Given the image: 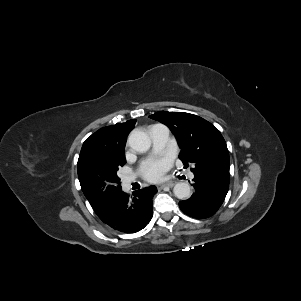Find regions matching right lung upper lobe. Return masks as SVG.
I'll use <instances>...</instances> for the list:
<instances>
[{"label": "right lung upper lobe", "mask_w": 301, "mask_h": 301, "mask_svg": "<svg viewBox=\"0 0 301 301\" xmlns=\"http://www.w3.org/2000/svg\"><path fill=\"white\" fill-rule=\"evenodd\" d=\"M135 123L136 120L132 119L125 123H117L99 129L83 143L80 155L94 148L103 151L124 153L127 136L134 128ZM101 213L103 212L96 214L100 215Z\"/></svg>", "instance_id": "right-lung-upper-lobe-1"}]
</instances>
